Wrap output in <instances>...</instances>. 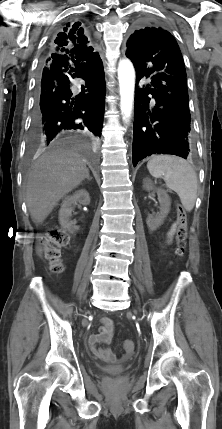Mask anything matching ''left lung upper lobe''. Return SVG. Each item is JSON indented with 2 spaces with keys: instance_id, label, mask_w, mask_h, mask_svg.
<instances>
[{
  "instance_id": "obj_1",
  "label": "left lung upper lobe",
  "mask_w": 222,
  "mask_h": 429,
  "mask_svg": "<svg viewBox=\"0 0 222 429\" xmlns=\"http://www.w3.org/2000/svg\"><path fill=\"white\" fill-rule=\"evenodd\" d=\"M167 31L162 30L161 28L155 27H145L139 30H136L129 38L127 42V48L135 44H148L156 43L162 41V37ZM151 41V42H149Z\"/></svg>"
}]
</instances>
